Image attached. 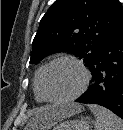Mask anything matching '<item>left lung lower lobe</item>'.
<instances>
[{
    "label": "left lung lower lobe",
    "instance_id": "1",
    "mask_svg": "<svg viewBox=\"0 0 123 130\" xmlns=\"http://www.w3.org/2000/svg\"><path fill=\"white\" fill-rule=\"evenodd\" d=\"M90 71L93 82L76 102L104 106L123 119V23L100 50Z\"/></svg>",
    "mask_w": 123,
    "mask_h": 130
}]
</instances>
